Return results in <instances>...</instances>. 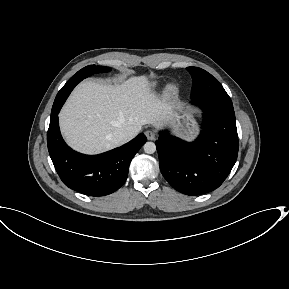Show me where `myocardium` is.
<instances>
[{"instance_id":"myocardium-1","label":"myocardium","mask_w":289,"mask_h":289,"mask_svg":"<svg viewBox=\"0 0 289 289\" xmlns=\"http://www.w3.org/2000/svg\"><path fill=\"white\" fill-rule=\"evenodd\" d=\"M176 91V87L174 86V85H169L168 87H167V92L168 93H174Z\"/></svg>"}]
</instances>
